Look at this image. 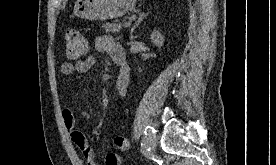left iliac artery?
<instances>
[{
  "label": "left iliac artery",
  "instance_id": "left-iliac-artery-1",
  "mask_svg": "<svg viewBox=\"0 0 276 165\" xmlns=\"http://www.w3.org/2000/svg\"><path fill=\"white\" fill-rule=\"evenodd\" d=\"M154 132L153 128L150 127V126H147L146 129H145V132H144V137L142 139V142H141V151L143 153L147 152L148 151V148H149V138L151 136V134Z\"/></svg>",
  "mask_w": 276,
  "mask_h": 165
}]
</instances>
